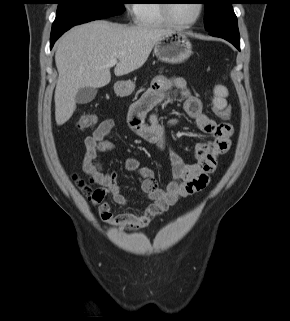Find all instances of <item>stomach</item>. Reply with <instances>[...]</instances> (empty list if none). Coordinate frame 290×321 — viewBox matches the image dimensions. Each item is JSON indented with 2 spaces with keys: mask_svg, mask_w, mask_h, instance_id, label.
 <instances>
[{
  "mask_svg": "<svg viewBox=\"0 0 290 321\" xmlns=\"http://www.w3.org/2000/svg\"><path fill=\"white\" fill-rule=\"evenodd\" d=\"M155 56L162 62L178 64L187 60L192 54V45L186 35L170 32L164 35L154 46ZM135 89L134 82L118 81L114 84L116 95L124 97Z\"/></svg>",
  "mask_w": 290,
  "mask_h": 321,
  "instance_id": "1",
  "label": "stomach"
}]
</instances>
